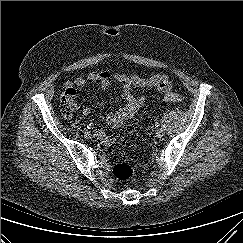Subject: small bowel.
Here are the masks:
<instances>
[{
    "mask_svg": "<svg viewBox=\"0 0 243 243\" xmlns=\"http://www.w3.org/2000/svg\"><path fill=\"white\" fill-rule=\"evenodd\" d=\"M112 81L122 84V97L124 105L115 112L109 113L105 118V123L110 127H118L126 120L132 118L138 110L147 102V97L134 96L132 91L135 88H156L160 91L167 92L171 89L169 77L165 74H156L148 78L139 75L111 74L107 71L90 72L86 77H77L72 81H67L64 86L74 99L76 96V88H82L88 82L97 83L100 89H107ZM83 115L89 116L91 110L88 107L83 108ZM97 137L105 144H111L113 139L108 137L103 131H97Z\"/></svg>",
    "mask_w": 243,
    "mask_h": 243,
    "instance_id": "c3829d8e",
    "label": "small bowel"
}]
</instances>
